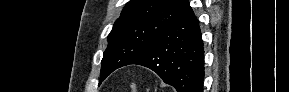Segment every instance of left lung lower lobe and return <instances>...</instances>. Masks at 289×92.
Wrapping results in <instances>:
<instances>
[{
  "label": "left lung lower lobe",
  "mask_w": 289,
  "mask_h": 92,
  "mask_svg": "<svg viewBox=\"0 0 289 92\" xmlns=\"http://www.w3.org/2000/svg\"><path fill=\"white\" fill-rule=\"evenodd\" d=\"M129 64L156 72L177 92H203L204 48L199 22L189 6L153 43Z\"/></svg>",
  "instance_id": "0a47b994"
}]
</instances>
